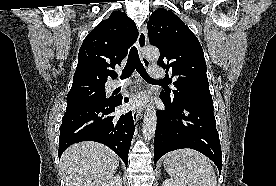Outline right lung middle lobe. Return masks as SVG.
Returning <instances> with one entry per match:
<instances>
[{
  "instance_id": "dd1d6c3e",
  "label": "right lung middle lobe",
  "mask_w": 276,
  "mask_h": 186,
  "mask_svg": "<svg viewBox=\"0 0 276 186\" xmlns=\"http://www.w3.org/2000/svg\"><path fill=\"white\" fill-rule=\"evenodd\" d=\"M112 98H106L104 85H83L72 88L67 95V108L109 103Z\"/></svg>"
}]
</instances>
